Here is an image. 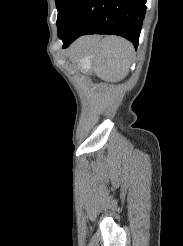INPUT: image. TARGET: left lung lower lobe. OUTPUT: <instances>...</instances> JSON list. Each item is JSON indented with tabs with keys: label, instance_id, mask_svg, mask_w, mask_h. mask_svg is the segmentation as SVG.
I'll list each match as a JSON object with an SVG mask.
<instances>
[{
	"label": "left lung lower lobe",
	"instance_id": "1",
	"mask_svg": "<svg viewBox=\"0 0 183 246\" xmlns=\"http://www.w3.org/2000/svg\"><path fill=\"white\" fill-rule=\"evenodd\" d=\"M147 0H74L58 30L67 48L86 34L122 36L137 48Z\"/></svg>",
	"mask_w": 183,
	"mask_h": 246
}]
</instances>
